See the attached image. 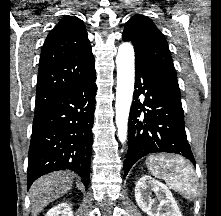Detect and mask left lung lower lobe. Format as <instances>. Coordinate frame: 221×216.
Masks as SVG:
<instances>
[{
	"label": "left lung lower lobe",
	"mask_w": 221,
	"mask_h": 216,
	"mask_svg": "<svg viewBox=\"0 0 221 216\" xmlns=\"http://www.w3.org/2000/svg\"><path fill=\"white\" fill-rule=\"evenodd\" d=\"M144 94L141 103L139 96ZM128 122V151L124 174L141 157L156 152L195 160L187 141L181 99L163 72L135 59V91Z\"/></svg>",
	"instance_id": "1"
}]
</instances>
